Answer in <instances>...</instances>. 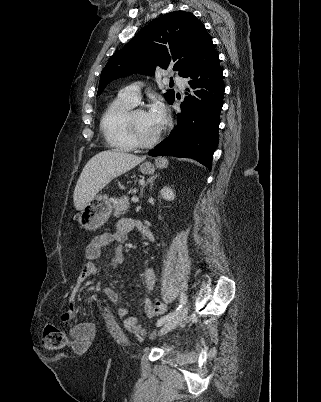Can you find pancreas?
<instances>
[{"instance_id": "obj_1", "label": "pancreas", "mask_w": 321, "mask_h": 402, "mask_svg": "<svg viewBox=\"0 0 321 402\" xmlns=\"http://www.w3.org/2000/svg\"><path fill=\"white\" fill-rule=\"evenodd\" d=\"M113 203L114 213L113 216L119 218L124 215L130 208V202L128 197L116 198L111 200Z\"/></svg>"}]
</instances>
